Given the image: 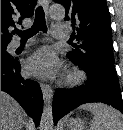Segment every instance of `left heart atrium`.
<instances>
[{
  "label": "left heart atrium",
  "mask_w": 123,
  "mask_h": 130,
  "mask_svg": "<svg viewBox=\"0 0 123 130\" xmlns=\"http://www.w3.org/2000/svg\"><path fill=\"white\" fill-rule=\"evenodd\" d=\"M58 67V58L49 48L38 50L27 61V70L35 76L50 77Z\"/></svg>",
  "instance_id": "obj_1"
}]
</instances>
